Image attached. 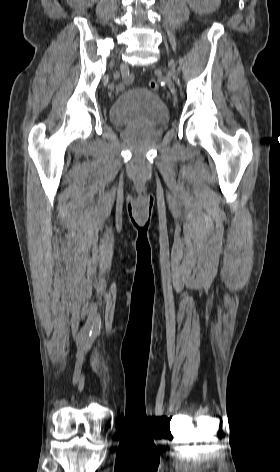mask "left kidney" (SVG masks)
<instances>
[{"instance_id": "5707ae66", "label": "left kidney", "mask_w": 280, "mask_h": 472, "mask_svg": "<svg viewBox=\"0 0 280 472\" xmlns=\"http://www.w3.org/2000/svg\"><path fill=\"white\" fill-rule=\"evenodd\" d=\"M218 0H187L192 9L198 13H209L218 7Z\"/></svg>"}]
</instances>
